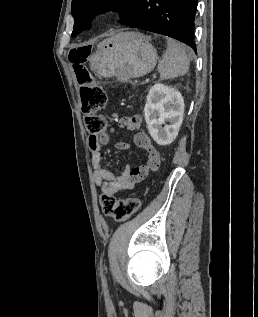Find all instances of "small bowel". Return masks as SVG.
Instances as JSON below:
<instances>
[{
    "mask_svg": "<svg viewBox=\"0 0 258 317\" xmlns=\"http://www.w3.org/2000/svg\"><path fill=\"white\" fill-rule=\"evenodd\" d=\"M141 125L142 117L138 114L118 119V126L128 131L138 130ZM112 131L113 130H110L100 135H91L88 141L94 183L100 188L103 194L108 195L132 189L135 184L141 182L150 172L156 171L160 165V154L153 145L150 137L144 132H137L133 137V143L146 151V163L135 168L126 165L122 173L118 176L106 169L102 164L101 150L108 143ZM116 147L118 149H128L130 144L118 142Z\"/></svg>",
    "mask_w": 258,
    "mask_h": 317,
    "instance_id": "small-bowel-1",
    "label": "small bowel"
}]
</instances>
